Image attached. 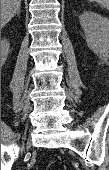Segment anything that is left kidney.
<instances>
[{
	"mask_svg": "<svg viewBox=\"0 0 109 170\" xmlns=\"http://www.w3.org/2000/svg\"><path fill=\"white\" fill-rule=\"evenodd\" d=\"M80 24L85 33L88 47L100 57H106L109 51V21L94 12H84Z\"/></svg>",
	"mask_w": 109,
	"mask_h": 170,
	"instance_id": "left-kidney-1",
	"label": "left kidney"
}]
</instances>
